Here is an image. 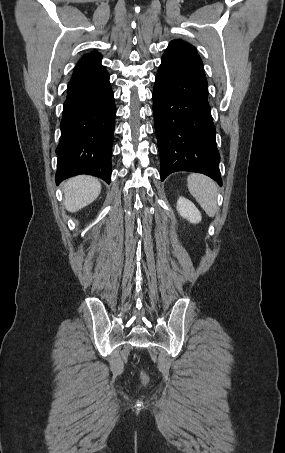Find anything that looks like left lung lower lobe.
Wrapping results in <instances>:
<instances>
[{
  "mask_svg": "<svg viewBox=\"0 0 285 453\" xmlns=\"http://www.w3.org/2000/svg\"><path fill=\"white\" fill-rule=\"evenodd\" d=\"M207 97L208 84L196 50L169 44L153 90L161 181L173 172L191 171L208 175L222 185L216 130Z\"/></svg>",
  "mask_w": 285,
  "mask_h": 453,
  "instance_id": "left-lung-lower-lobe-1",
  "label": "left lung lower lobe"
}]
</instances>
